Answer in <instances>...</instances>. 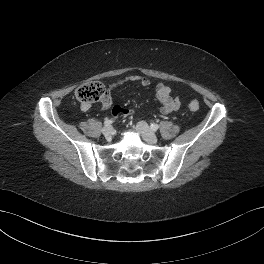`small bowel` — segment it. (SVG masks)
I'll list each match as a JSON object with an SVG mask.
<instances>
[{
    "label": "small bowel",
    "instance_id": "obj_1",
    "mask_svg": "<svg viewBox=\"0 0 264 264\" xmlns=\"http://www.w3.org/2000/svg\"><path fill=\"white\" fill-rule=\"evenodd\" d=\"M130 82H138L144 88L150 85V81L147 78L137 75H131L122 80H118L110 84L109 91L114 90ZM155 93L158 101L161 104L160 112L162 114H170L180 108L182 99L178 96H173L171 89L167 85L163 83L157 84L155 88ZM101 105L105 109L111 107L112 101L109 93L106 94L105 98L101 102ZM88 109H90L89 105H82V110L86 111ZM111 112L113 116L127 115L129 113L128 110L122 108L119 105L113 106Z\"/></svg>",
    "mask_w": 264,
    "mask_h": 264
}]
</instances>
